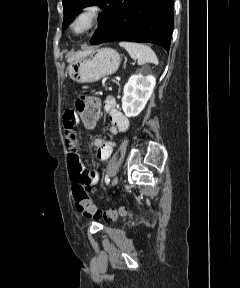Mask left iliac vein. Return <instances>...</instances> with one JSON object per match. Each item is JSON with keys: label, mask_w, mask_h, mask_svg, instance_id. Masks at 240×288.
<instances>
[{"label": "left iliac vein", "mask_w": 240, "mask_h": 288, "mask_svg": "<svg viewBox=\"0 0 240 288\" xmlns=\"http://www.w3.org/2000/svg\"><path fill=\"white\" fill-rule=\"evenodd\" d=\"M118 182V177L116 176L112 181V186H115Z\"/></svg>", "instance_id": "obj_1"}]
</instances>
